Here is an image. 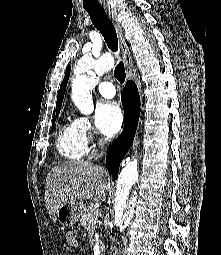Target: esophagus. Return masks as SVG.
Here are the masks:
<instances>
[{"label": "esophagus", "mask_w": 221, "mask_h": 255, "mask_svg": "<svg viewBox=\"0 0 221 255\" xmlns=\"http://www.w3.org/2000/svg\"><path fill=\"white\" fill-rule=\"evenodd\" d=\"M106 12H107L109 18L113 21V23L115 25L120 50H121L123 60H124V65L126 68L127 77L130 78L132 75V58H131L129 48L127 47L125 40H124L122 27H121L119 21L117 20L116 13L113 9H111L110 7L106 8Z\"/></svg>", "instance_id": "34e87169"}]
</instances>
